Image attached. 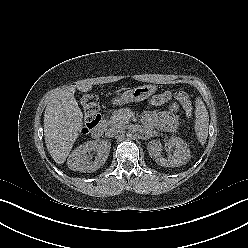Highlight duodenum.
<instances>
[{
	"label": "duodenum",
	"instance_id": "410a0bca",
	"mask_svg": "<svg viewBox=\"0 0 248 248\" xmlns=\"http://www.w3.org/2000/svg\"><path fill=\"white\" fill-rule=\"evenodd\" d=\"M106 129V121L102 120V118L100 117L97 121L96 124L93 128H91L92 130V136L94 138H100L103 136L104 132Z\"/></svg>",
	"mask_w": 248,
	"mask_h": 248
}]
</instances>
